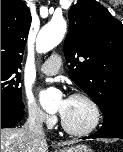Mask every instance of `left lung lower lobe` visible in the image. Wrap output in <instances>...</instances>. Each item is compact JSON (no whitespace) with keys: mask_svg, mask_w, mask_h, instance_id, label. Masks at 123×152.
Masks as SVG:
<instances>
[{"mask_svg":"<svg viewBox=\"0 0 123 152\" xmlns=\"http://www.w3.org/2000/svg\"><path fill=\"white\" fill-rule=\"evenodd\" d=\"M87 138H121L123 139V105H115L104 114L102 128Z\"/></svg>","mask_w":123,"mask_h":152,"instance_id":"1","label":"left lung lower lobe"}]
</instances>
